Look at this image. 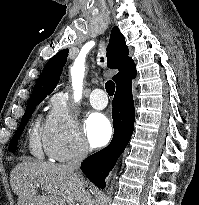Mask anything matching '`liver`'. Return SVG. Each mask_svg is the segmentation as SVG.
<instances>
[{"label":"liver","instance_id":"6515ba94","mask_svg":"<svg viewBox=\"0 0 199 205\" xmlns=\"http://www.w3.org/2000/svg\"><path fill=\"white\" fill-rule=\"evenodd\" d=\"M13 192L18 196V205H65L63 193L75 202H82L83 185L74 171L66 165L48 162L23 161L15 166L10 175ZM48 194H38L37 188Z\"/></svg>","mask_w":199,"mask_h":205}]
</instances>
